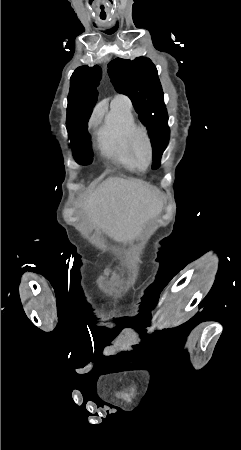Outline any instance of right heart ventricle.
I'll return each instance as SVG.
<instances>
[{
	"instance_id": "obj_1",
	"label": "right heart ventricle",
	"mask_w": 241,
	"mask_h": 450,
	"mask_svg": "<svg viewBox=\"0 0 241 450\" xmlns=\"http://www.w3.org/2000/svg\"><path fill=\"white\" fill-rule=\"evenodd\" d=\"M134 118L130 104L116 99L111 110L106 115L104 123L97 131V141L100 150L109 156H113L125 164H132L133 151L127 148L130 144L127 137L132 135Z\"/></svg>"
}]
</instances>
